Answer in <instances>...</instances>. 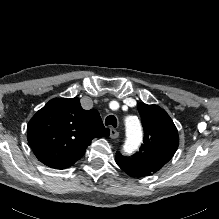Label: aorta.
Segmentation results:
<instances>
[{"mask_svg": "<svg viewBox=\"0 0 219 219\" xmlns=\"http://www.w3.org/2000/svg\"><path fill=\"white\" fill-rule=\"evenodd\" d=\"M127 140L125 144L126 152H133L138 149L142 142V127L139 120L135 117H129L126 121Z\"/></svg>", "mask_w": 219, "mask_h": 219, "instance_id": "aorta-1", "label": "aorta"}]
</instances>
